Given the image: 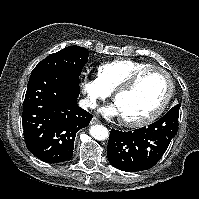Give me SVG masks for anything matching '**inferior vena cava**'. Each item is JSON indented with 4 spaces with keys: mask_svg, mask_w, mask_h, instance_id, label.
<instances>
[{
    "mask_svg": "<svg viewBox=\"0 0 199 199\" xmlns=\"http://www.w3.org/2000/svg\"><path fill=\"white\" fill-rule=\"evenodd\" d=\"M79 106L82 109L87 110L88 108H95L96 107V102L93 99H81L79 101Z\"/></svg>",
    "mask_w": 199,
    "mask_h": 199,
    "instance_id": "obj_1",
    "label": "inferior vena cava"
}]
</instances>
